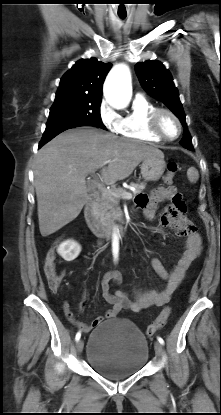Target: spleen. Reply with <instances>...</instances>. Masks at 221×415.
<instances>
[{"label":"spleen","instance_id":"3e777b00","mask_svg":"<svg viewBox=\"0 0 221 415\" xmlns=\"http://www.w3.org/2000/svg\"><path fill=\"white\" fill-rule=\"evenodd\" d=\"M187 176L191 183H196L199 179V173L194 167L188 169Z\"/></svg>","mask_w":221,"mask_h":415}]
</instances>
